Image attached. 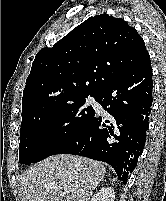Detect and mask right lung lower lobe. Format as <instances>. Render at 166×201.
Instances as JSON below:
<instances>
[{
  "mask_svg": "<svg viewBox=\"0 0 166 201\" xmlns=\"http://www.w3.org/2000/svg\"><path fill=\"white\" fill-rule=\"evenodd\" d=\"M152 68L148 53L104 85L95 95L108 113L92 118L54 154H74L104 161L127 183L137 165L149 127L152 106Z\"/></svg>",
  "mask_w": 166,
  "mask_h": 201,
  "instance_id": "1",
  "label": "right lung lower lobe"
}]
</instances>
